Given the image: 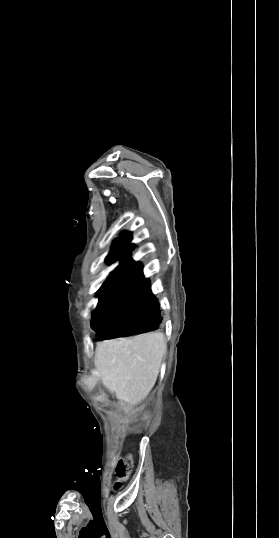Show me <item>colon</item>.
Returning <instances> with one entry per match:
<instances>
[{
  "label": "colon",
  "instance_id": "colon-1",
  "mask_svg": "<svg viewBox=\"0 0 279 538\" xmlns=\"http://www.w3.org/2000/svg\"><path fill=\"white\" fill-rule=\"evenodd\" d=\"M130 471V459L125 458L121 459L115 469L116 476L118 481L115 484V488L118 489L121 486V481L125 480L128 477Z\"/></svg>",
  "mask_w": 279,
  "mask_h": 538
}]
</instances>
